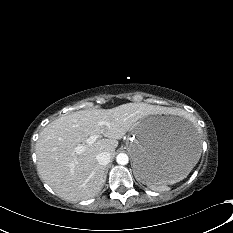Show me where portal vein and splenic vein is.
<instances>
[{
	"label": "portal vein and splenic vein",
	"instance_id": "obj_1",
	"mask_svg": "<svg viewBox=\"0 0 233 233\" xmlns=\"http://www.w3.org/2000/svg\"><path fill=\"white\" fill-rule=\"evenodd\" d=\"M100 125H107V126H108L109 123L106 122V121H102V122H100ZM100 137H101L100 135H92V136H90L89 138H87L86 143H87L88 145H91V144H93L94 142H96ZM84 150H85V146H84V145H78V146L75 148V152H76L77 154L82 153Z\"/></svg>",
	"mask_w": 233,
	"mask_h": 233
}]
</instances>
